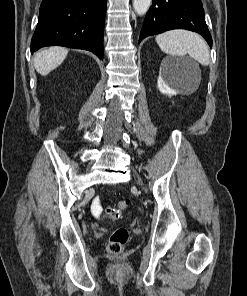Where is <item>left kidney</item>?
<instances>
[{
    "mask_svg": "<svg viewBox=\"0 0 247 296\" xmlns=\"http://www.w3.org/2000/svg\"><path fill=\"white\" fill-rule=\"evenodd\" d=\"M184 64L179 59H165L157 80L158 88L162 94L177 95L176 86L179 81H190Z\"/></svg>",
    "mask_w": 247,
    "mask_h": 296,
    "instance_id": "obj_1",
    "label": "left kidney"
}]
</instances>
